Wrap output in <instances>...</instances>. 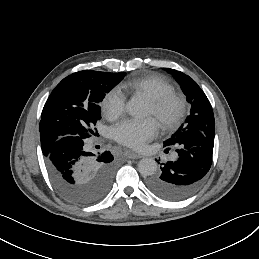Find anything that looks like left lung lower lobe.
I'll return each mask as SVG.
<instances>
[{"label":"left lung lower lobe","mask_w":259,"mask_h":259,"mask_svg":"<svg viewBox=\"0 0 259 259\" xmlns=\"http://www.w3.org/2000/svg\"><path fill=\"white\" fill-rule=\"evenodd\" d=\"M203 131H186L176 146L178 159L161 167L147 181L148 189L161 199L180 201L201 185L212 164L214 137ZM167 147V146H164Z\"/></svg>","instance_id":"1"}]
</instances>
